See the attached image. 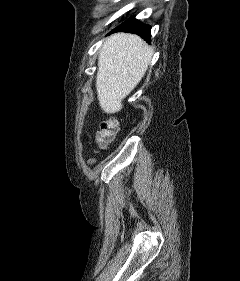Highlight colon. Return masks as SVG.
<instances>
[{"instance_id":"colon-1","label":"colon","mask_w":240,"mask_h":281,"mask_svg":"<svg viewBox=\"0 0 240 281\" xmlns=\"http://www.w3.org/2000/svg\"><path fill=\"white\" fill-rule=\"evenodd\" d=\"M118 129L117 121L109 119L101 122L100 128L95 135V140L99 148H106L114 139Z\"/></svg>"}]
</instances>
